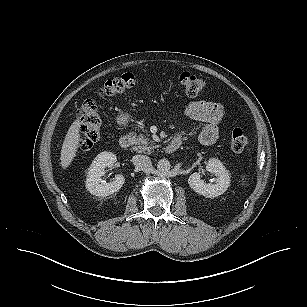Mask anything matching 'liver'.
I'll list each match as a JSON object with an SVG mask.
<instances>
[{
  "instance_id": "1",
  "label": "liver",
  "mask_w": 307,
  "mask_h": 307,
  "mask_svg": "<svg viewBox=\"0 0 307 307\" xmlns=\"http://www.w3.org/2000/svg\"><path fill=\"white\" fill-rule=\"evenodd\" d=\"M80 125L79 119L75 120L67 131L65 140L61 149V166L63 169L69 167L74 157L76 156L77 149L80 142Z\"/></svg>"
}]
</instances>
